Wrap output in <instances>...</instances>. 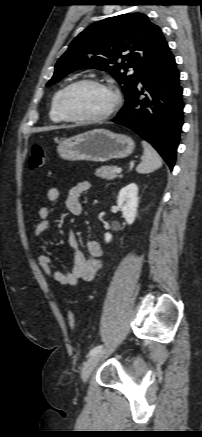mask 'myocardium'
<instances>
[{
    "instance_id": "1",
    "label": "myocardium",
    "mask_w": 202,
    "mask_h": 437,
    "mask_svg": "<svg viewBox=\"0 0 202 437\" xmlns=\"http://www.w3.org/2000/svg\"><path fill=\"white\" fill-rule=\"evenodd\" d=\"M81 85H94L98 86L100 88H103L107 91H109L113 96V102L110 106V108L99 116L94 117H81L74 115L70 113V111L67 109L66 101L69 96V94L77 87ZM122 103V97L119 92V90L112 84L100 81L98 79L94 78H83L79 79L77 81H74L73 83L66 86V88L63 90V92L60 95L59 98V110L62 114V116L67 120L75 123H82V124H95V123H102L108 119H110L120 108Z\"/></svg>"
}]
</instances>
